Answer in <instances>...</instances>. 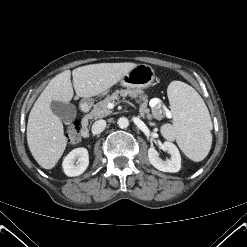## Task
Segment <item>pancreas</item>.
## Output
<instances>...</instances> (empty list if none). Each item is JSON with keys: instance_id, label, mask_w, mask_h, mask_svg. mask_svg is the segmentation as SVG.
I'll list each match as a JSON object with an SVG mask.
<instances>
[{"instance_id": "1", "label": "pancreas", "mask_w": 247, "mask_h": 247, "mask_svg": "<svg viewBox=\"0 0 247 247\" xmlns=\"http://www.w3.org/2000/svg\"><path fill=\"white\" fill-rule=\"evenodd\" d=\"M138 95H141L140 90L122 89L120 91H116V92L112 93L111 95H108L107 97H105L104 100L96 103L94 105V108L92 109V111L86 115V118L98 119V118L106 117L112 113V111L107 108V105L110 102H114L115 100L119 99L120 96H122V97L130 96L131 98H137ZM140 97H141V100H143V102L140 104V108H139L140 115L141 116H144V115L149 116L150 110L147 108L148 100L145 96H140ZM141 100H138L137 102H140ZM159 112H160V105L156 106L152 109V115L157 119H160V117L157 116Z\"/></svg>"}]
</instances>
